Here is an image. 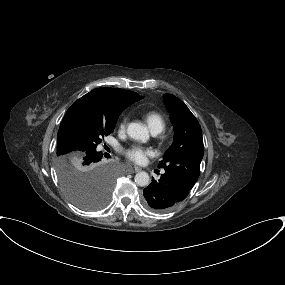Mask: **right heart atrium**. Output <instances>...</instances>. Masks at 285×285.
I'll list each match as a JSON object with an SVG mask.
<instances>
[{"mask_svg": "<svg viewBox=\"0 0 285 285\" xmlns=\"http://www.w3.org/2000/svg\"><path fill=\"white\" fill-rule=\"evenodd\" d=\"M127 123H128V118L123 117L118 124L119 131L124 132L126 130Z\"/></svg>", "mask_w": 285, "mask_h": 285, "instance_id": "d8ad5b80", "label": "right heart atrium"}]
</instances>
